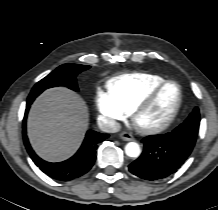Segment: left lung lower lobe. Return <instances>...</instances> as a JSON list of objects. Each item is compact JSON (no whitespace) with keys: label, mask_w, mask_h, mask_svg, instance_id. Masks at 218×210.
Masks as SVG:
<instances>
[{"label":"left lung lower lobe","mask_w":218,"mask_h":210,"mask_svg":"<svg viewBox=\"0 0 218 210\" xmlns=\"http://www.w3.org/2000/svg\"><path fill=\"white\" fill-rule=\"evenodd\" d=\"M180 129L178 126L170 133L144 138V150L129 165V171L146 180L162 179L175 173L184 164L195 144Z\"/></svg>","instance_id":"obj_1"}]
</instances>
